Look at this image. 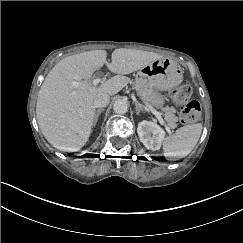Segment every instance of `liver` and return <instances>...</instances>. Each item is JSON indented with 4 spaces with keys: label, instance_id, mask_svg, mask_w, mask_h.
I'll return each mask as SVG.
<instances>
[{
    "label": "liver",
    "instance_id": "6515ba94",
    "mask_svg": "<svg viewBox=\"0 0 243 243\" xmlns=\"http://www.w3.org/2000/svg\"><path fill=\"white\" fill-rule=\"evenodd\" d=\"M163 56L143 50L119 48L107 61L105 50H92L63 58L46 76L36 103L37 122L56 149L76 152L88 142L95 120V97L116 95L129 82L125 77ZM116 74L99 87L92 82L103 66Z\"/></svg>",
    "mask_w": 243,
    "mask_h": 243
}]
</instances>
